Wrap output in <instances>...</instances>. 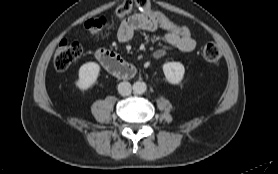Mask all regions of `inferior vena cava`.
Returning a JSON list of instances; mask_svg holds the SVG:
<instances>
[{
  "label": "inferior vena cava",
  "instance_id": "602c4592",
  "mask_svg": "<svg viewBox=\"0 0 278 174\" xmlns=\"http://www.w3.org/2000/svg\"><path fill=\"white\" fill-rule=\"evenodd\" d=\"M118 92L122 96H129L132 92V86L129 82H121L118 85Z\"/></svg>",
  "mask_w": 278,
  "mask_h": 174
}]
</instances>
